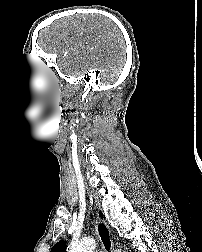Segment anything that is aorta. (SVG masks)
Returning a JSON list of instances; mask_svg holds the SVG:
<instances>
[{
    "mask_svg": "<svg viewBox=\"0 0 202 252\" xmlns=\"http://www.w3.org/2000/svg\"><path fill=\"white\" fill-rule=\"evenodd\" d=\"M95 243L93 239H85L79 243L72 244L69 252H94Z\"/></svg>",
    "mask_w": 202,
    "mask_h": 252,
    "instance_id": "762f6f07",
    "label": "aorta"
}]
</instances>
